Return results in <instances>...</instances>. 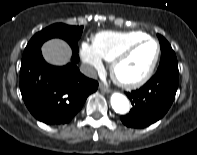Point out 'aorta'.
Here are the masks:
<instances>
[{
	"label": "aorta",
	"mask_w": 197,
	"mask_h": 155,
	"mask_svg": "<svg viewBox=\"0 0 197 155\" xmlns=\"http://www.w3.org/2000/svg\"><path fill=\"white\" fill-rule=\"evenodd\" d=\"M110 101L111 106L116 113L126 114L129 111V101L123 94L113 93Z\"/></svg>",
	"instance_id": "obj_1"
}]
</instances>
